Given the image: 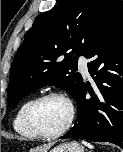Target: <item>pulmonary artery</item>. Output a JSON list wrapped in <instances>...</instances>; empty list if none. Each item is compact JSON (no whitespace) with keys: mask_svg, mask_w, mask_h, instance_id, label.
Returning a JSON list of instances; mask_svg holds the SVG:
<instances>
[{"mask_svg":"<svg viewBox=\"0 0 123 152\" xmlns=\"http://www.w3.org/2000/svg\"><path fill=\"white\" fill-rule=\"evenodd\" d=\"M78 68L81 71V73L83 74V76H85V77L89 76L87 61L84 58L79 59Z\"/></svg>","mask_w":123,"mask_h":152,"instance_id":"obj_1","label":"pulmonary artery"}]
</instances>
